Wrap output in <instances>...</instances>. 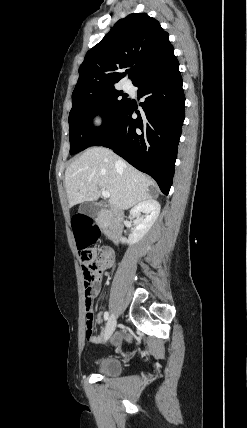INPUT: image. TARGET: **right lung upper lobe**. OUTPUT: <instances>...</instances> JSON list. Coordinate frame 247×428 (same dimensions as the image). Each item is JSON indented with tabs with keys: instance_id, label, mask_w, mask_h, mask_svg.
Instances as JSON below:
<instances>
[{
	"instance_id": "right-lung-upper-lobe-1",
	"label": "right lung upper lobe",
	"mask_w": 247,
	"mask_h": 428,
	"mask_svg": "<svg viewBox=\"0 0 247 428\" xmlns=\"http://www.w3.org/2000/svg\"><path fill=\"white\" fill-rule=\"evenodd\" d=\"M174 56L169 35L159 22L146 13H133L119 20L101 42L91 48L79 69L72 100L94 92L115 88L130 68L135 84L147 73Z\"/></svg>"
}]
</instances>
